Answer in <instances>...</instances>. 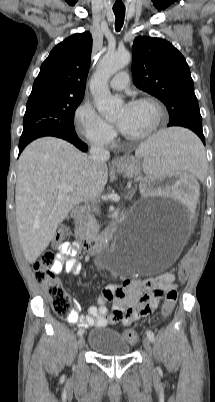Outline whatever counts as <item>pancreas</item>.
Returning <instances> with one entry per match:
<instances>
[{"instance_id":"obj_1","label":"pancreas","mask_w":215,"mask_h":402,"mask_svg":"<svg viewBox=\"0 0 215 402\" xmlns=\"http://www.w3.org/2000/svg\"><path fill=\"white\" fill-rule=\"evenodd\" d=\"M75 233L82 240H90L96 236L98 224L91 212L77 222Z\"/></svg>"}]
</instances>
